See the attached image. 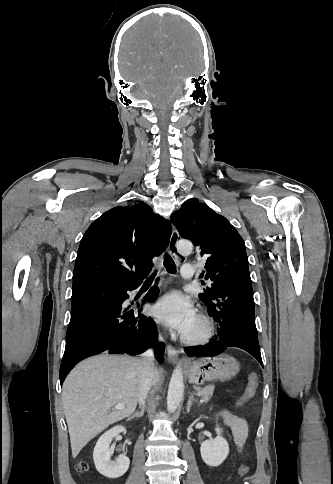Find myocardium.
Here are the masks:
<instances>
[{
  "mask_svg": "<svg viewBox=\"0 0 333 484\" xmlns=\"http://www.w3.org/2000/svg\"><path fill=\"white\" fill-rule=\"evenodd\" d=\"M197 319L201 322L203 326V331L199 336L191 337L186 334L181 335V341L188 346H203L210 342L215 333V327L206 314L199 313Z\"/></svg>",
  "mask_w": 333,
  "mask_h": 484,
  "instance_id": "1",
  "label": "myocardium"
}]
</instances>
